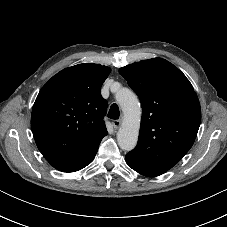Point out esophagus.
Listing matches in <instances>:
<instances>
[{"label":"esophagus","mask_w":227,"mask_h":227,"mask_svg":"<svg viewBox=\"0 0 227 227\" xmlns=\"http://www.w3.org/2000/svg\"><path fill=\"white\" fill-rule=\"evenodd\" d=\"M122 124V120L121 119H118V120H114L113 121V126L115 129H118Z\"/></svg>","instance_id":"1"}]
</instances>
